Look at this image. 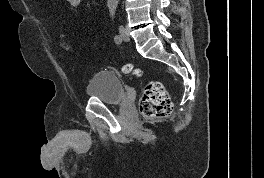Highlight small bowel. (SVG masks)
Listing matches in <instances>:
<instances>
[{
    "mask_svg": "<svg viewBox=\"0 0 264 178\" xmlns=\"http://www.w3.org/2000/svg\"><path fill=\"white\" fill-rule=\"evenodd\" d=\"M66 1L69 4L70 8L73 10L78 9L82 3V0H66Z\"/></svg>",
    "mask_w": 264,
    "mask_h": 178,
    "instance_id": "1",
    "label": "small bowel"
}]
</instances>
